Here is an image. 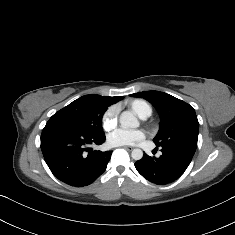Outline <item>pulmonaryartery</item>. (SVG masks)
<instances>
[{
    "mask_svg": "<svg viewBox=\"0 0 235 235\" xmlns=\"http://www.w3.org/2000/svg\"><path fill=\"white\" fill-rule=\"evenodd\" d=\"M148 116L147 115H145V116H143L142 118H147Z\"/></svg>",
    "mask_w": 235,
    "mask_h": 235,
    "instance_id": "e3ab8cb5",
    "label": "pulmonary artery"
}]
</instances>
